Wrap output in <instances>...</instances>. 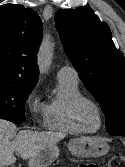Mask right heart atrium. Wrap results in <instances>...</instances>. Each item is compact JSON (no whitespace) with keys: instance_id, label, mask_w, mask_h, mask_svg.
I'll return each mask as SVG.
<instances>
[{"instance_id":"1","label":"right heart atrium","mask_w":125,"mask_h":167,"mask_svg":"<svg viewBox=\"0 0 125 167\" xmlns=\"http://www.w3.org/2000/svg\"><path fill=\"white\" fill-rule=\"evenodd\" d=\"M25 107L33 120L37 121L44 117L45 105L41 102L36 90L29 92L25 99Z\"/></svg>"}]
</instances>
